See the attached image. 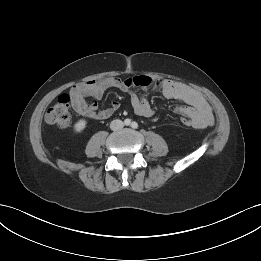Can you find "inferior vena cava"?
<instances>
[{
    "instance_id": "inferior-vena-cava-1",
    "label": "inferior vena cava",
    "mask_w": 261,
    "mask_h": 261,
    "mask_svg": "<svg viewBox=\"0 0 261 261\" xmlns=\"http://www.w3.org/2000/svg\"><path fill=\"white\" fill-rule=\"evenodd\" d=\"M123 126H124V123L119 119L113 120L110 123V128L113 131L119 130V129L123 128Z\"/></svg>"
}]
</instances>
